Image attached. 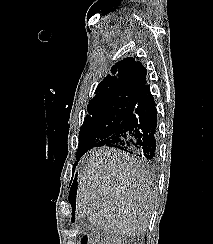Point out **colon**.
Wrapping results in <instances>:
<instances>
[{
  "mask_svg": "<svg viewBox=\"0 0 213 244\" xmlns=\"http://www.w3.org/2000/svg\"><path fill=\"white\" fill-rule=\"evenodd\" d=\"M82 244H115L113 241L104 240L102 237L88 238L84 237L82 239Z\"/></svg>",
  "mask_w": 213,
  "mask_h": 244,
  "instance_id": "colon-1",
  "label": "colon"
}]
</instances>
